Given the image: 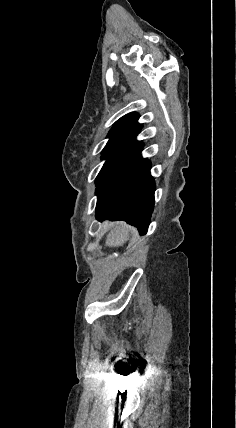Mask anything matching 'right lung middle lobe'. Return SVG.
<instances>
[{"mask_svg": "<svg viewBox=\"0 0 236 428\" xmlns=\"http://www.w3.org/2000/svg\"><path fill=\"white\" fill-rule=\"evenodd\" d=\"M142 144H134L102 152L106 159L96 178V195L98 200L104 197L132 168L139 159Z\"/></svg>", "mask_w": 236, "mask_h": 428, "instance_id": "right-lung-middle-lobe-1", "label": "right lung middle lobe"}]
</instances>
